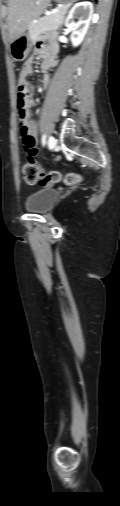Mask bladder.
I'll use <instances>...</instances> for the list:
<instances>
[{
	"instance_id": "1",
	"label": "bladder",
	"mask_w": 120,
	"mask_h": 506,
	"mask_svg": "<svg viewBox=\"0 0 120 506\" xmlns=\"http://www.w3.org/2000/svg\"><path fill=\"white\" fill-rule=\"evenodd\" d=\"M59 192L54 188H42L30 194L25 201V209L34 213L47 212L57 200Z\"/></svg>"
}]
</instances>
